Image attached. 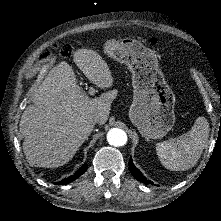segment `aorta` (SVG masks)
I'll return each instance as SVG.
<instances>
[{
    "mask_svg": "<svg viewBox=\"0 0 221 221\" xmlns=\"http://www.w3.org/2000/svg\"><path fill=\"white\" fill-rule=\"evenodd\" d=\"M107 141L115 147L124 146L127 142V134L122 129L112 128L107 133Z\"/></svg>",
    "mask_w": 221,
    "mask_h": 221,
    "instance_id": "aorta-1",
    "label": "aorta"
}]
</instances>
